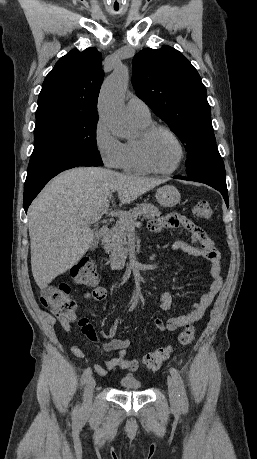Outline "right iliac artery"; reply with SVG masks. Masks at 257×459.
<instances>
[{"mask_svg":"<svg viewBox=\"0 0 257 459\" xmlns=\"http://www.w3.org/2000/svg\"><path fill=\"white\" fill-rule=\"evenodd\" d=\"M91 374H92V369L88 367L82 375V383H85L86 381H88V379L91 377ZM78 413H79V407L76 406L73 410V414L78 415Z\"/></svg>","mask_w":257,"mask_h":459,"instance_id":"obj_1","label":"right iliac artery"}]
</instances>
